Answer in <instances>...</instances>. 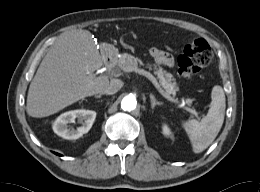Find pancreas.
<instances>
[{"label": "pancreas", "mask_w": 260, "mask_h": 192, "mask_svg": "<svg viewBox=\"0 0 260 192\" xmlns=\"http://www.w3.org/2000/svg\"><path fill=\"white\" fill-rule=\"evenodd\" d=\"M138 65H143V62L138 57L132 56L128 53L122 54L118 60V67L121 70H123L127 66L138 67ZM147 67L150 70H154V74L157 76L160 84L165 89L166 93L175 96L178 87L176 86V82L173 78V75L167 72L162 67L157 66L156 64H147Z\"/></svg>", "instance_id": "cf45deb5"}]
</instances>
